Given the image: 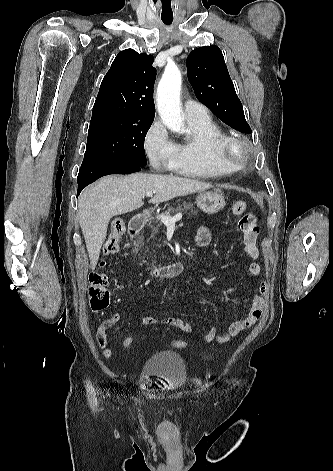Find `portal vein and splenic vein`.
Instances as JSON below:
<instances>
[{
  "label": "portal vein and splenic vein",
  "instance_id": "1",
  "mask_svg": "<svg viewBox=\"0 0 333 471\" xmlns=\"http://www.w3.org/2000/svg\"><path fill=\"white\" fill-rule=\"evenodd\" d=\"M154 192L152 191H149L147 192V196L148 197H151L153 195ZM159 218L161 219V221L163 222V224H165L166 226H169V225H175V222L179 221L181 218H182V214L181 213H178L176 214L174 217H171V216H167V215H160Z\"/></svg>",
  "mask_w": 333,
  "mask_h": 471
}]
</instances>
